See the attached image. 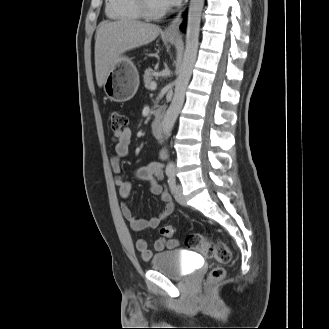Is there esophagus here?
<instances>
[{
	"mask_svg": "<svg viewBox=\"0 0 329 329\" xmlns=\"http://www.w3.org/2000/svg\"><path fill=\"white\" fill-rule=\"evenodd\" d=\"M187 0L184 1L182 9L179 11V13L176 15V17L171 21L169 26L165 29L164 34L166 36H173V37H178L180 36V25L182 24L183 21V12L185 10Z\"/></svg>",
	"mask_w": 329,
	"mask_h": 329,
	"instance_id": "34e87169",
	"label": "esophagus"
}]
</instances>
